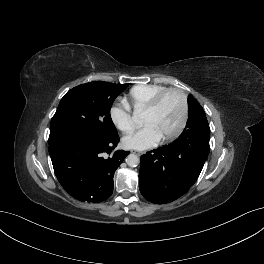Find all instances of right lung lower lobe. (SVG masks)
<instances>
[{
	"label": "right lung lower lobe",
	"instance_id": "98d812e1",
	"mask_svg": "<svg viewBox=\"0 0 264 264\" xmlns=\"http://www.w3.org/2000/svg\"><path fill=\"white\" fill-rule=\"evenodd\" d=\"M119 137L98 139L67 136L49 143V153L56 177L74 198L97 203L113 192V176L129 152L117 150Z\"/></svg>",
	"mask_w": 264,
	"mask_h": 264
}]
</instances>
